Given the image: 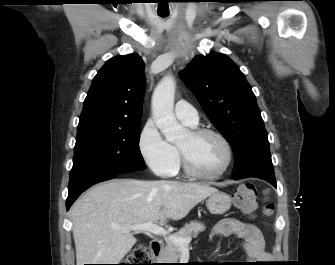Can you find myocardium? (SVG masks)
<instances>
[{
	"label": "myocardium",
	"instance_id": "myocardium-1",
	"mask_svg": "<svg viewBox=\"0 0 335 265\" xmlns=\"http://www.w3.org/2000/svg\"><path fill=\"white\" fill-rule=\"evenodd\" d=\"M189 134L191 135V137L198 139L204 136H214L216 138H218L222 144L225 147L226 150V160L223 164V166L221 167V169L219 171H217L216 173L213 174H204L201 173L199 171H197L192 164L189 161V158L187 156V154L185 153V151L178 146V151L180 154V159H181V163H182V167L185 171V173L195 179H199V180H206V181H211V180H216L221 178L230 168L232 161H233V148L232 145L230 143V141L227 139L226 136H224L222 133H220L219 131L213 130V129H208V128H198V129H193L189 132Z\"/></svg>",
	"mask_w": 335,
	"mask_h": 265
}]
</instances>
